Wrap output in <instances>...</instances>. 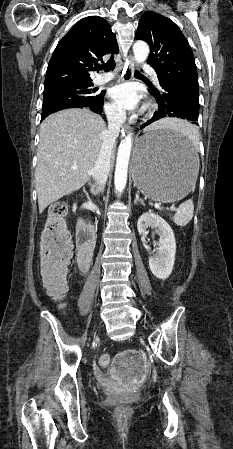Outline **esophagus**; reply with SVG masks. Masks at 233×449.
Returning <instances> with one entry per match:
<instances>
[{
  "instance_id": "34e87169",
  "label": "esophagus",
  "mask_w": 233,
  "mask_h": 449,
  "mask_svg": "<svg viewBox=\"0 0 233 449\" xmlns=\"http://www.w3.org/2000/svg\"><path fill=\"white\" fill-rule=\"evenodd\" d=\"M134 64H135V62H134L133 57H130L124 63V79L126 81H130L133 78ZM129 128H130L129 124H127V123L123 124L124 132H128Z\"/></svg>"
}]
</instances>
